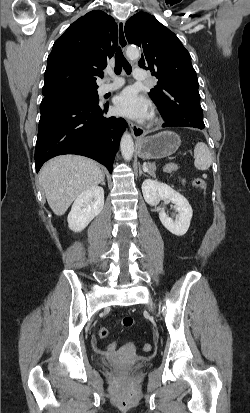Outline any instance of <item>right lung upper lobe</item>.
Listing matches in <instances>:
<instances>
[{
  "label": "right lung upper lobe",
  "mask_w": 250,
  "mask_h": 413,
  "mask_svg": "<svg viewBox=\"0 0 250 413\" xmlns=\"http://www.w3.org/2000/svg\"><path fill=\"white\" fill-rule=\"evenodd\" d=\"M118 27L113 17L94 10L72 23L48 56L42 94L68 88H95L96 77L113 56Z\"/></svg>",
  "instance_id": "obj_1"
}]
</instances>
